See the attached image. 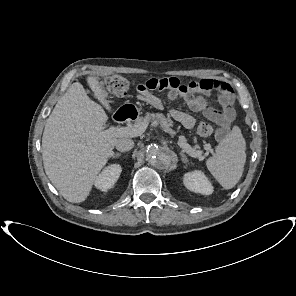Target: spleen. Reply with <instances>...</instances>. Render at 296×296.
<instances>
[{"label":"spleen","instance_id":"1","mask_svg":"<svg viewBox=\"0 0 296 296\" xmlns=\"http://www.w3.org/2000/svg\"><path fill=\"white\" fill-rule=\"evenodd\" d=\"M246 144L238 127H234L216 147V153L206 161L210 173L225 189L240 180L246 161Z\"/></svg>","mask_w":296,"mask_h":296}]
</instances>
